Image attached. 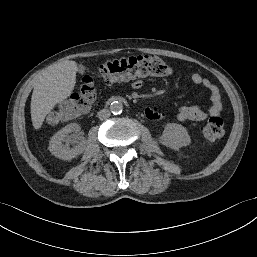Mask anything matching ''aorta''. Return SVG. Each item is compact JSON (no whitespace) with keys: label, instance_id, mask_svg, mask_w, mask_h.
<instances>
[{"label":"aorta","instance_id":"762f6f07","mask_svg":"<svg viewBox=\"0 0 257 257\" xmlns=\"http://www.w3.org/2000/svg\"><path fill=\"white\" fill-rule=\"evenodd\" d=\"M110 111L114 114V115H118L121 114L123 111V104L119 101H114L110 104Z\"/></svg>","mask_w":257,"mask_h":257}]
</instances>
